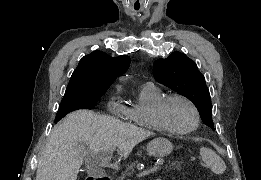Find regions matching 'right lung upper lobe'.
I'll use <instances>...</instances> for the list:
<instances>
[{
	"label": "right lung upper lobe",
	"instance_id": "obj_1",
	"mask_svg": "<svg viewBox=\"0 0 261 180\" xmlns=\"http://www.w3.org/2000/svg\"><path fill=\"white\" fill-rule=\"evenodd\" d=\"M130 61L125 55L113 58L94 51L80 60L66 90L106 92L116 77L128 69Z\"/></svg>",
	"mask_w": 261,
	"mask_h": 180
}]
</instances>
